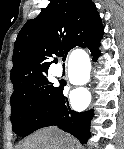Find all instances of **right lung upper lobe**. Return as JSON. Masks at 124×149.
Here are the masks:
<instances>
[{
	"label": "right lung upper lobe",
	"mask_w": 124,
	"mask_h": 149,
	"mask_svg": "<svg viewBox=\"0 0 124 149\" xmlns=\"http://www.w3.org/2000/svg\"><path fill=\"white\" fill-rule=\"evenodd\" d=\"M103 33L91 0H50L17 36L10 74L14 89L47 74L51 57L66 56L76 46L90 49L100 42Z\"/></svg>",
	"instance_id": "obj_1"
}]
</instances>
